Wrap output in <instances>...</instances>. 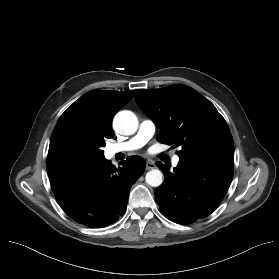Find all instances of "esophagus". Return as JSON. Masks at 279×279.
<instances>
[{
  "instance_id": "obj_1",
  "label": "esophagus",
  "mask_w": 279,
  "mask_h": 279,
  "mask_svg": "<svg viewBox=\"0 0 279 279\" xmlns=\"http://www.w3.org/2000/svg\"><path fill=\"white\" fill-rule=\"evenodd\" d=\"M155 168V164L152 161H147L146 162V170H151Z\"/></svg>"
}]
</instances>
